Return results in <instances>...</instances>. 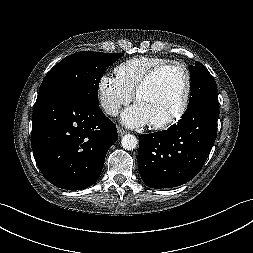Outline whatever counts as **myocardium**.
Wrapping results in <instances>:
<instances>
[{"instance_id": "1", "label": "myocardium", "mask_w": 253, "mask_h": 253, "mask_svg": "<svg viewBox=\"0 0 253 253\" xmlns=\"http://www.w3.org/2000/svg\"><path fill=\"white\" fill-rule=\"evenodd\" d=\"M170 69H177L184 76L185 87L181 106L172 117L163 121L150 122L151 127L154 129H168L180 122L181 119L185 116L189 107L192 92V75L189 68L185 64L178 62H169L167 64L154 67L144 75L133 93L134 101H137L140 94L153 82V80L159 74Z\"/></svg>"}]
</instances>
